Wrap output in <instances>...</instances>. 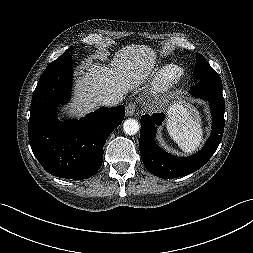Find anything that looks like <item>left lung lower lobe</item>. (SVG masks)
Here are the masks:
<instances>
[{"label": "left lung lower lobe", "instance_id": "obj_1", "mask_svg": "<svg viewBox=\"0 0 253 253\" xmlns=\"http://www.w3.org/2000/svg\"><path fill=\"white\" fill-rule=\"evenodd\" d=\"M191 93L208 101L212 113V134L205 146L193 156L180 158L170 155L155 143L156 126L163 122V113L145 114L141 117L140 154L146 169L160 178H177L200 169L219 146L224 132L225 101L222 83L200 80Z\"/></svg>", "mask_w": 253, "mask_h": 253}]
</instances>
